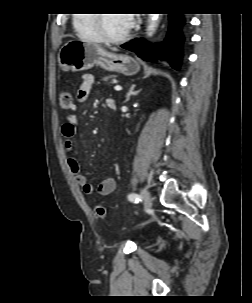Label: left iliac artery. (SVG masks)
Wrapping results in <instances>:
<instances>
[{"label": "left iliac artery", "instance_id": "obj_1", "mask_svg": "<svg viewBox=\"0 0 252 303\" xmlns=\"http://www.w3.org/2000/svg\"><path fill=\"white\" fill-rule=\"evenodd\" d=\"M128 199L131 201V202H134V203H139L140 201V198L137 194L135 193H131L128 195Z\"/></svg>", "mask_w": 252, "mask_h": 303}]
</instances>
